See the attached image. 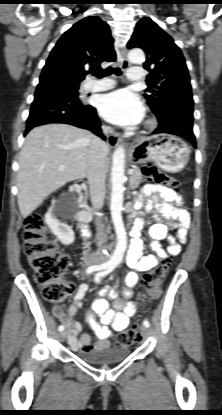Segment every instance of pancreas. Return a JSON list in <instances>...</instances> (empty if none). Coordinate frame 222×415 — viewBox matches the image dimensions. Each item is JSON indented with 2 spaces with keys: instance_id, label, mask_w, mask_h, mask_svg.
Listing matches in <instances>:
<instances>
[{
  "instance_id": "obj_1",
  "label": "pancreas",
  "mask_w": 222,
  "mask_h": 415,
  "mask_svg": "<svg viewBox=\"0 0 222 415\" xmlns=\"http://www.w3.org/2000/svg\"><path fill=\"white\" fill-rule=\"evenodd\" d=\"M142 180V172L139 168L133 169V174L130 177V185L132 189L139 187V184Z\"/></svg>"
}]
</instances>
